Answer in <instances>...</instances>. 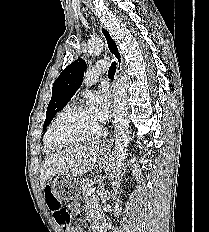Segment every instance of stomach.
<instances>
[{
	"label": "stomach",
	"instance_id": "1",
	"mask_svg": "<svg viewBox=\"0 0 209 232\" xmlns=\"http://www.w3.org/2000/svg\"><path fill=\"white\" fill-rule=\"evenodd\" d=\"M105 150L108 148L101 149V151ZM62 175L54 177L51 187L56 199H79L82 179L78 176H72V171H63Z\"/></svg>",
	"mask_w": 209,
	"mask_h": 232
}]
</instances>
